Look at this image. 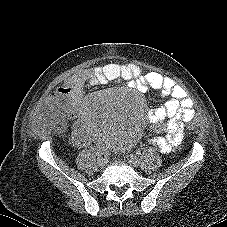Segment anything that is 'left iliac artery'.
Returning a JSON list of instances; mask_svg holds the SVG:
<instances>
[{"label": "left iliac artery", "mask_w": 227, "mask_h": 227, "mask_svg": "<svg viewBox=\"0 0 227 227\" xmlns=\"http://www.w3.org/2000/svg\"><path fill=\"white\" fill-rule=\"evenodd\" d=\"M138 155H140L141 153L140 152H137Z\"/></svg>", "instance_id": "44dca946"}]
</instances>
